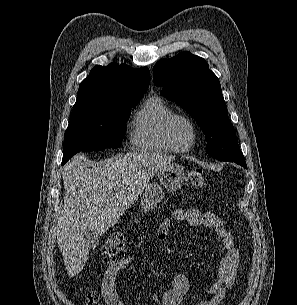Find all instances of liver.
Returning <instances> with one entry per match:
<instances>
[{
  "instance_id": "1",
  "label": "liver",
  "mask_w": 297,
  "mask_h": 305,
  "mask_svg": "<svg viewBox=\"0 0 297 305\" xmlns=\"http://www.w3.org/2000/svg\"><path fill=\"white\" fill-rule=\"evenodd\" d=\"M174 159L133 152L89 169L85 157L76 155L64 166V207L56 236L69 277L79 274L89 256L84 231L105 233L137 201L149 180Z\"/></svg>"
}]
</instances>
